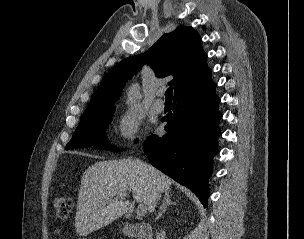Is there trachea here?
I'll return each instance as SVG.
<instances>
[{
  "label": "trachea",
  "instance_id": "trachea-1",
  "mask_svg": "<svg viewBox=\"0 0 304 239\" xmlns=\"http://www.w3.org/2000/svg\"><path fill=\"white\" fill-rule=\"evenodd\" d=\"M172 94H173V87H169L165 92L166 100H172Z\"/></svg>",
  "mask_w": 304,
  "mask_h": 239
}]
</instances>
